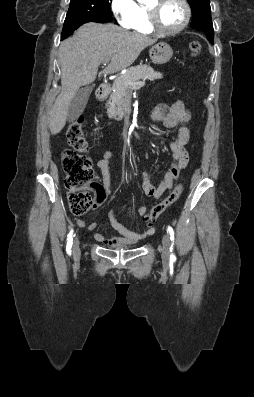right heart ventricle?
<instances>
[{
  "label": "right heart ventricle",
  "mask_w": 254,
  "mask_h": 397,
  "mask_svg": "<svg viewBox=\"0 0 254 397\" xmlns=\"http://www.w3.org/2000/svg\"><path fill=\"white\" fill-rule=\"evenodd\" d=\"M139 13L138 18L132 27L136 32L141 34H150L152 33V29L149 26L148 18H147V10L144 6H138Z\"/></svg>",
  "instance_id": "1"
}]
</instances>
